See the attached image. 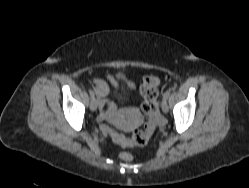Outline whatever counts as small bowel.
Here are the masks:
<instances>
[{
  "mask_svg": "<svg viewBox=\"0 0 249 188\" xmlns=\"http://www.w3.org/2000/svg\"><path fill=\"white\" fill-rule=\"evenodd\" d=\"M107 81L111 83L117 94L120 93L122 86H125L127 89H133L134 85L132 82L127 80L123 74L120 73L107 74L104 77L94 79V89L98 97V105L100 108L98 120H107L113 122L116 118V107L106 98L109 91Z\"/></svg>",
  "mask_w": 249,
  "mask_h": 188,
  "instance_id": "small-bowel-1",
  "label": "small bowel"
}]
</instances>
